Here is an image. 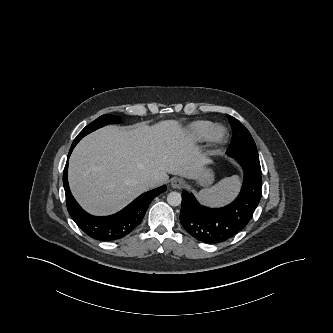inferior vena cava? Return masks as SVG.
<instances>
[{
  "label": "inferior vena cava",
  "mask_w": 333,
  "mask_h": 333,
  "mask_svg": "<svg viewBox=\"0 0 333 333\" xmlns=\"http://www.w3.org/2000/svg\"><path fill=\"white\" fill-rule=\"evenodd\" d=\"M146 182H147L149 185L153 186V185H155L156 180H155V179H147Z\"/></svg>",
  "instance_id": "inferior-vena-cava-1"
}]
</instances>
